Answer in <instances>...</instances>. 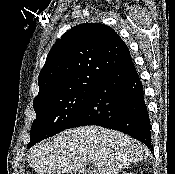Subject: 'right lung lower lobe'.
<instances>
[{"label":"right lung lower lobe","mask_w":175,"mask_h":174,"mask_svg":"<svg viewBox=\"0 0 175 174\" xmlns=\"http://www.w3.org/2000/svg\"><path fill=\"white\" fill-rule=\"evenodd\" d=\"M85 125L121 131L151 149L149 114L143 87L132 60L106 74L93 87L68 128Z\"/></svg>","instance_id":"obj_1"}]
</instances>
